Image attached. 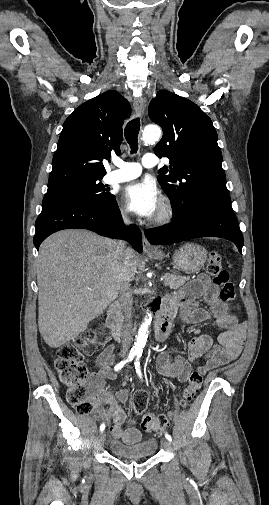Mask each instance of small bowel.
Listing matches in <instances>:
<instances>
[{
	"instance_id": "c3829d8e",
	"label": "small bowel",
	"mask_w": 269,
	"mask_h": 505,
	"mask_svg": "<svg viewBox=\"0 0 269 505\" xmlns=\"http://www.w3.org/2000/svg\"><path fill=\"white\" fill-rule=\"evenodd\" d=\"M166 300L175 309L178 306L181 308V319L184 323L197 325L211 321L224 329V332L219 335L218 344H214L208 335L192 338L188 342V357L177 355L171 360L168 353H160L156 366L161 375L176 378L179 382H186L192 371V362L203 358L205 364L199 368V371L205 374L239 356L247 325L228 313L226 303L219 298L217 288L210 283L208 275L200 274L194 281ZM201 302L205 303L206 307L202 306ZM112 362L113 348L109 347L97 360L99 372L96 377L100 387L105 378H115L111 367ZM100 395L102 401L108 405V414L113 421L110 427L112 436L127 443L138 442L141 439V433L135 425V420H132L130 427L126 429L122 427L126 420V413L121 404L128 401V391L126 389L118 390L116 393L104 391Z\"/></svg>"
}]
</instances>
